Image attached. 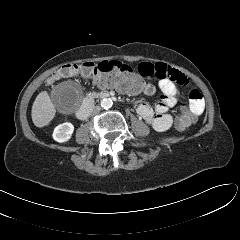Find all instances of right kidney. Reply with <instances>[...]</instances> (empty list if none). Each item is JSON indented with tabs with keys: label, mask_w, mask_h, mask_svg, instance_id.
I'll return each mask as SVG.
<instances>
[{
	"label": "right kidney",
	"mask_w": 240,
	"mask_h": 240,
	"mask_svg": "<svg viewBox=\"0 0 240 240\" xmlns=\"http://www.w3.org/2000/svg\"><path fill=\"white\" fill-rule=\"evenodd\" d=\"M74 131V126L71 123H63L55 127L53 132V138L57 142H66L68 141Z\"/></svg>",
	"instance_id": "right-kidney-1"
}]
</instances>
